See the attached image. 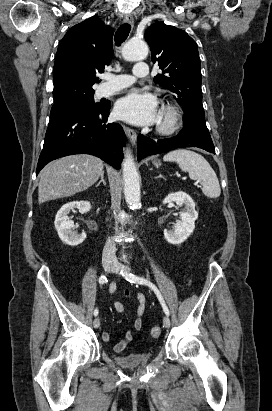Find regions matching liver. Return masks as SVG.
Returning <instances> with one entry per match:
<instances>
[{"label": "liver", "mask_w": 272, "mask_h": 411, "mask_svg": "<svg viewBox=\"0 0 272 411\" xmlns=\"http://www.w3.org/2000/svg\"><path fill=\"white\" fill-rule=\"evenodd\" d=\"M103 167L101 159L87 154L71 155L49 163L40 173L39 204L86 190L104 172Z\"/></svg>", "instance_id": "obj_1"}]
</instances>
